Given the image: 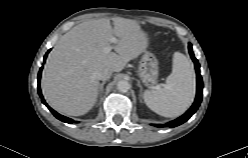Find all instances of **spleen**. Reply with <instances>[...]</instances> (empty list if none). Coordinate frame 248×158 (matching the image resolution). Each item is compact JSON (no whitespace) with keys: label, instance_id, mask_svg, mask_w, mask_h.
Masks as SVG:
<instances>
[{"label":"spleen","instance_id":"3e777b00","mask_svg":"<svg viewBox=\"0 0 248 158\" xmlns=\"http://www.w3.org/2000/svg\"><path fill=\"white\" fill-rule=\"evenodd\" d=\"M195 73L187 57L175 52L172 73L166 84L156 90H146L143 98L146 105L164 117H177L192 104L195 97Z\"/></svg>","mask_w":248,"mask_h":158}]
</instances>
